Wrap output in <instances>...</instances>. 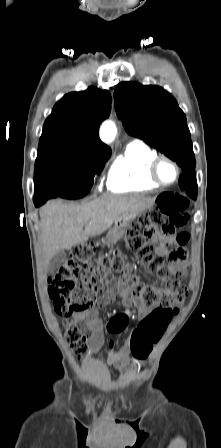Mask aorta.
<instances>
[{
    "mask_svg": "<svg viewBox=\"0 0 221 448\" xmlns=\"http://www.w3.org/2000/svg\"><path fill=\"white\" fill-rule=\"evenodd\" d=\"M117 128L114 122L106 120L100 127V138L103 142L109 143L114 140Z\"/></svg>",
    "mask_w": 221,
    "mask_h": 448,
    "instance_id": "aorta-1",
    "label": "aorta"
}]
</instances>
